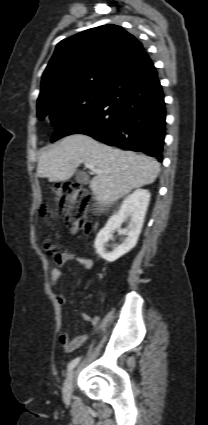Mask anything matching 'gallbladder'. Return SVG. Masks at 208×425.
Masks as SVG:
<instances>
[{"mask_svg":"<svg viewBox=\"0 0 208 425\" xmlns=\"http://www.w3.org/2000/svg\"><path fill=\"white\" fill-rule=\"evenodd\" d=\"M76 180L80 184H87L89 182L88 176L84 172H82V171H78L77 172V174H76Z\"/></svg>","mask_w":208,"mask_h":425,"instance_id":"bac80fb5","label":"gallbladder"}]
</instances>
